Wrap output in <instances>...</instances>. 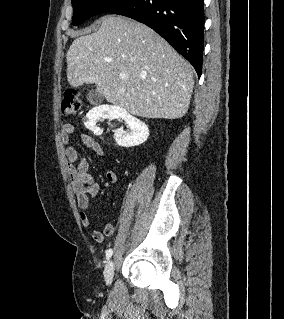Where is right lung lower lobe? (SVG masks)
<instances>
[{
  "mask_svg": "<svg viewBox=\"0 0 284 319\" xmlns=\"http://www.w3.org/2000/svg\"><path fill=\"white\" fill-rule=\"evenodd\" d=\"M203 0H130L110 13L154 29L202 74L204 47Z\"/></svg>",
  "mask_w": 284,
  "mask_h": 319,
  "instance_id": "98d812e1",
  "label": "right lung lower lobe"
}]
</instances>
